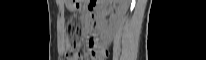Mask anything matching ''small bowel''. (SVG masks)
<instances>
[{
  "label": "small bowel",
  "instance_id": "small-bowel-1",
  "mask_svg": "<svg viewBox=\"0 0 206 60\" xmlns=\"http://www.w3.org/2000/svg\"><path fill=\"white\" fill-rule=\"evenodd\" d=\"M88 50H89V55L92 57V59H96L98 53L102 51V48L99 47L93 39H90L88 44ZM82 59L83 58L79 57L74 60H82Z\"/></svg>",
  "mask_w": 206,
  "mask_h": 60
}]
</instances>
